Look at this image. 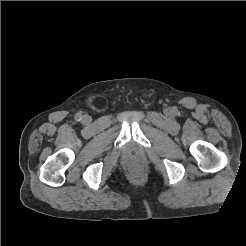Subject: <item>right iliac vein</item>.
<instances>
[{"label": "right iliac vein", "mask_w": 246, "mask_h": 246, "mask_svg": "<svg viewBox=\"0 0 246 246\" xmlns=\"http://www.w3.org/2000/svg\"><path fill=\"white\" fill-rule=\"evenodd\" d=\"M90 121H91L90 116H88V115L83 116V118H82L83 123L88 124Z\"/></svg>", "instance_id": "right-iliac-vein-1"}]
</instances>
